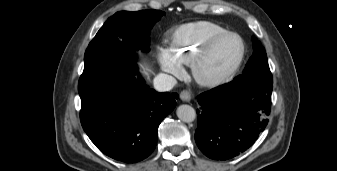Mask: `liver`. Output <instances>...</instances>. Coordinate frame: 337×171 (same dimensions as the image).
<instances>
[{"label": "liver", "instance_id": "6515ba94", "mask_svg": "<svg viewBox=\"0 0 337 171\" xmlns=\"http://www.w3.org/2000/svg\"><path fill=\"white\" fill-rule=\"evenodd\" d=\"M141 67H142V69H143L142 73H143L145 76L149 77V73H150L151 70H150L147 66H144V65H142Z\"/></svg>", "mask_w": 337, "mask_h": 171}]
</instances>
